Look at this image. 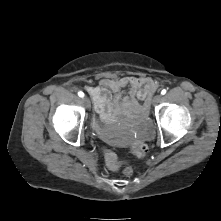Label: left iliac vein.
Segmentation results:
<instances>
[{
    "label": "left iliac vein",
    "mask_w": 221,
    "mask_h": 221,
    "mask_svg": "<svg viewBox=\"0 0 221 221\" xmlns=\"http://www.w3.org/2000/svg\"><path fill=\"white\" fill-rule=\"evenodd\" d=\"M160 100H161V95L158 94V95L154 96V98H153V100H152V103H153V104H157V103L160 102Z\"/></svg>",
    "instance_id": "1"
}]
</instances>
